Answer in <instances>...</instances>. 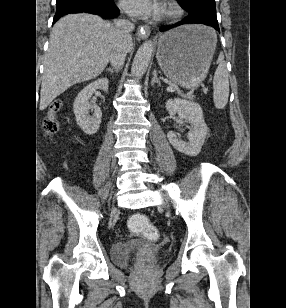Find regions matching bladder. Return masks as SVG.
<instances>
[{
	"instance_id": "31cf9c89",
	"label": "bladder",
	"mask_w": 286,
	"mask_h": 308,
	"mask_svg": "<svg viewBox=\"0 0 286 308\" xmlns=\"http://www.w3.org/2000/svg\"><path fill=\"white\" fill-rule=\"evenodd\" d=\"M138 244L131 240H121L116 242L112 247V256L114 261L126 266L129 263V256Z\"/></svg>"
}]
</instances>
